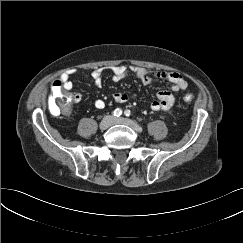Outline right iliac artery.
<instances>
[{"mask_svg":"<svg viewBox=\"0 0 243 243\" xmlns=\"http://www.w3.org/2000/svg\"><path fill=\"white\" fill-rule=\"evenodd\" d=\"M112 115H113L114 117H119V116L122 115V110H121L120 108H117V109H115V110L112 112Z\"/></svg>","mask_w":243,"mask_h":243,"instance_id":"right-iliac-artery-1","label":"right iliac artery"}]
</instances>
